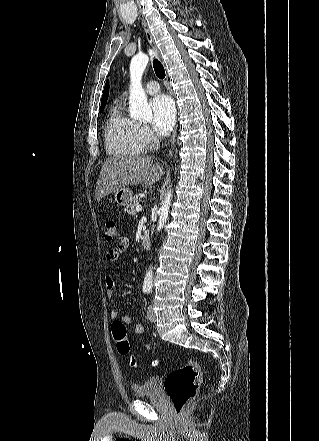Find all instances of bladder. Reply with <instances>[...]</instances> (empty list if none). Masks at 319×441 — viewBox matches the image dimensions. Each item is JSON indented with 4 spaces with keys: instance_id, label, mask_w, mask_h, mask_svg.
I'll return each mask as SVG.
<instances>
[{
    "instance_id": "1",
    "label": "bladder",
    "mask_w": 319,
    "mask_h": 441,
    "mask_svg": "<svg viewBox=\"0 0 319 441\" xmlns=\"http://www.w3.org/2000/svg\"><path fill=\"white\" fill-rule=\"evenodd\" d=\"M132 391L135 397L149 398L158 394V378L151 377L147 381L132 385Z\"/></svg>"
}]
</instances>
